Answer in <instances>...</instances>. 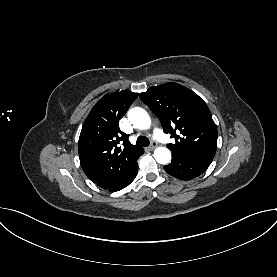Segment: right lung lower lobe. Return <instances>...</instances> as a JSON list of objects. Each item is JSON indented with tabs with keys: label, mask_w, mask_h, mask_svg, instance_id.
Listing matches in <instances>:
<instances>
[{
	"label": "right lung lower lobe",
	"mask_w": 277,
	"mask_h": 277,
	"mask_svg": "<svg viewBox=\"0 0 277 277\" xmlns=\"http://www.w3.org/2000/svg\"><path fill=\"white\" fill-rule=\"evenodd\" d=\"M138 172V164L136 163L127 173L121 178L117 183H115L108 191L116 192L119 191L126 186H128L136 177Z\"/></svg>",
	"instance_id": "obj_1"
}]
</instances>
